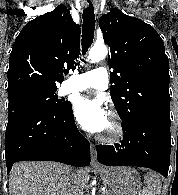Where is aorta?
Here are the masks:
<instances>
[{
  "label": "aorta",
  "instance_id": "obj_1",
  "mask_svg": "<svg viewBox=\"0 0 178 195\" xmlns=\"http://www.w3.org/2000/svg\"><path fill=\"white\" fill-rule=\"evenodd\" d=\"M108 54V48L104 44L94 45L88 55V59L91 63H97L103 60Z\"/></svg>",
  "mask_w": 178,
  "mask_h": 195
}]
</instances>
